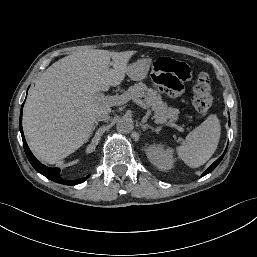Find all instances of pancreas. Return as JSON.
<instances>
[{
  "label": "pancreas",
  "mask_w": 257,
  "mask_h": 257,
  "mask_svg": "<svg viewBox=\"0 0 257 257\" xmlns=\"http://www.w3.org/2000/svg\"><path fill=\"white\" fill-rule=\"evenodd\" d=\"M128 99L144 98L145 103L154 112V117L157 121L170 122L176 121L178 118L179 110L176 108L168 107L167 103L161 99V96L154 89L147 88L142 82L129 87L124 93Z\"/></svg>",
  "instance_id": "cf45deb5"
}]
</instances>
